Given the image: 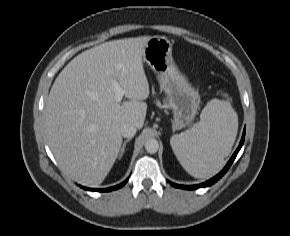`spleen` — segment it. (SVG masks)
I'll return each mask as SVG.
<instances>
[{
	"label": "spleen",
	"instance_id": "obj_1",
	"mask_svg": "<svg viewBox=\"0 0 290 236\" xmlns=\"http://www.w3.org/2000/svg\"><path fill=\"white\" fill-rule=\"evenodd\" d=\"M238 130V117L229 100L212 99L203 108L200 121L175 134L171 147L182 167L195 178L218 173L231 152Z\"/></svg>",
	"mask_w": 290,
	"mask_h": 236
}]
</instances>
